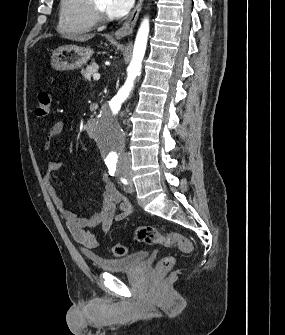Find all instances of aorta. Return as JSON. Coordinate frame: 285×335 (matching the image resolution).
<instances>
[{
    "label": "aorta",
    "mask_w": 285,
    "mask_h": 335,
    "mask_svg": "<svg viewBox=\"0 0 285 335\" xmlns=\"http://www.w3.org/2000/svg\"><path fill=\"white\" fill-rule=\"evenodd\" d=\"M149 34V22L143 20L136 36L132 60L127 68V78L124 86L120 90H112V100H105V105L101 106V119L99 125L90 127V134L99 137L97 147H106L104 155L113 160L117 152L124 147V137H127V130L123 125H116L114 112H119L122 102H127V98L133 97L134 82L141 74L142 60L145 56L147 40Z\"/></svg>",
    "instance_id": "aorta-1"
}]
</instances>
